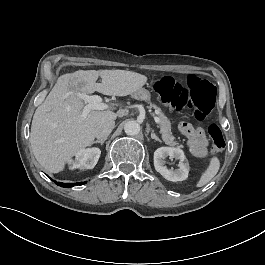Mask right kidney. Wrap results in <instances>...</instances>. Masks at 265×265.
I'll return each mask as SVG.
<instances>
[{
  "label": "right kidney",
  "mask_w": 265,
  "mask_h": 265,
  "mask_svg": "<svg viewBox=\"0 0 265 265\" xmlns=\"http://www.w3.org/2000/svg\"><path fill=\"white\" fill-rule=\"evenodd\" d=\"M100 155L101 151L98 148L81 150L76 154V162L74 163V166L81 169H93L97 164Z\"/></svg>",
  "instance_id": "obj_1"
}]
</instances>
